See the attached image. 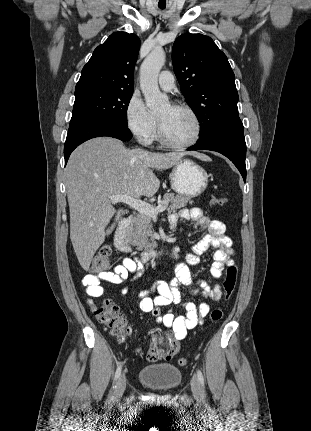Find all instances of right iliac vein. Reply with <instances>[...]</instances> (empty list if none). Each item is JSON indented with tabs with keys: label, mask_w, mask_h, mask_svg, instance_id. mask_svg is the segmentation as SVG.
<instances>
[{
	"label": "right iliac vein",
	"mask_w": 311,
	"mask_h": 431,
	"mask_svg": "<svg viewBox=\"0 0 311 431\" xmlns=\"http://www.w3.org/2000/svg\"><path fill=\"white\" fill-rule=\"evenodd\" d=\"M125 387H126V376H125V373H123L119 377L116 388H115V392H114L115 400H119L122 397V395L125 391Z\"/></svg>",
	"instance_id": "obj_1"
}]
</instances>
